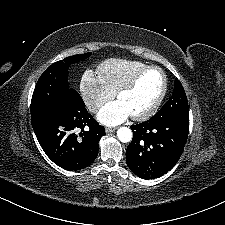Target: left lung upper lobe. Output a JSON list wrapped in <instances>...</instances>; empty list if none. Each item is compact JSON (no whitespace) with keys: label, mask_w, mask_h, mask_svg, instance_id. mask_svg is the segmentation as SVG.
<instances>
[{"label":"left lung upper lobe","mask_w":225,"mask_h":225,"mask_svg":"<svg viewBox=\"0 0 225 225\" xmlns=\"http://www.w3.org/2000/svg\"><path fill=\"white\" fill-rule=\"evenodd\" d=\"M175 116H189L187 97L182 84L177 78L174 82L172 96L153 117L169 118Z\"/></svg>","instance_id":"5c2ea615"}]
</instances>
